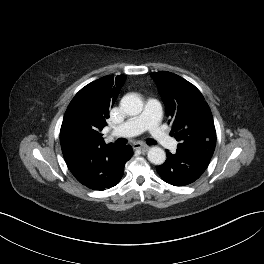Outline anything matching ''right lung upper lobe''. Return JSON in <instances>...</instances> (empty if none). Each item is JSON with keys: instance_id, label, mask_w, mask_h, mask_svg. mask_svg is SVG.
<instances>
[{"instance_id": "right-lung-upper-lobe-1", "label": "right lung upper lobe", "mask_w": 264, "mask_h": 264, "mask_svg": "<svg viewBox=\"0 0 264 264\" xmlns=\"http://www.w3.org/2000/svg\"><path fill=\"white\" fill-rule=\"evenodd\" d=\"M126 80L105 76L83 87L70 102L60 130L63 152L104 144L101 131Z\"/></svg>"}]
</instances>
